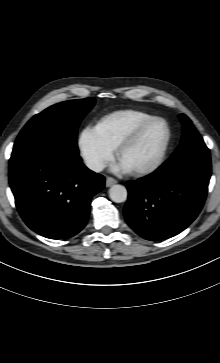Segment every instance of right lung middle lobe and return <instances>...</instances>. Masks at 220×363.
<instances>
[{
	"label": "right lung middle lobe",
	"mask_w": 220,
	"mask_h": 363,
	"mask_svg": "<svg viewBox=\"0 0 220 363\" xmlns=\"http://www.w3.org/2000/svg\"><path fill=\"white\" fill-rule=\"evenodd\" d=\"M94 98L64 101L35 115L18 135L11 158L39 146L56 144L78 154L77 130Z\"/></svg>",
	"instance_id": "dd1d6c3e"
}]
</instances>
